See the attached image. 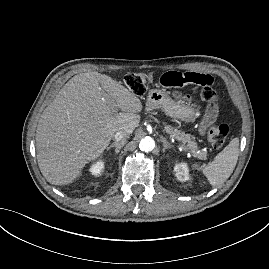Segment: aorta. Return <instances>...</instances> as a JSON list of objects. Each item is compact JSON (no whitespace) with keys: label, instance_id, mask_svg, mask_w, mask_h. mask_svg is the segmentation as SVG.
I'll list each match as a JSON object with an SVG mask.
<instances>
[{"label":"aorta","instance_id":"obj_1","mask_svg":"<svg viewBox=\"0 0 269 269\" xmlns=\"http://www.w3.org/2000/svg\"><path fill=\"white\" fill-rule=\"evenodd\" d=\"M139 148L141 151L150 152L155 148V141L153 138L147 136L143 138L139 143Z\"/></svg>","mask_w":269,"mask_h":269}]
</instances>
